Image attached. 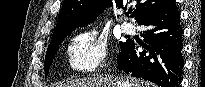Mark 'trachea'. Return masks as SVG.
<instances>
[{"label": "trachea", "mask_w": 205, "mask_h": 87, "mask_svg": "<svg viewBox=\"0 0 205 87\" xmlns=\"http://www.w3.org/2000/svg\"><path fill=\"white\" fill-rule=\"evenodd\" d=\"M129 13H131V12H129ZM129 13H127L126 15L129 16Z\"/></svg>", "instance_id": "1"}]
</instances>
